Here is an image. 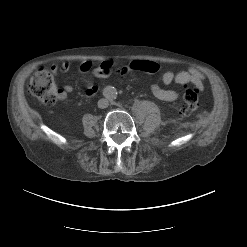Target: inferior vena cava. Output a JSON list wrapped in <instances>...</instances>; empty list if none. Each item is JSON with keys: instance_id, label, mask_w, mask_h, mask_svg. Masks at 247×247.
<instances>
[{"instance_id": "1", "label": "inferior vena cava", "mask_w": 247, "mask_h": 247, "mask_svg": "<svg viewBox=\"0 0 247 247\" xmlns=\"http://www.w3.org/2000/svg\"><path fill=\"white\" fill-rule=\"evenodd\" d=\"M108 105H109V102L107 99L102 98L98 101V107L101 109L107 108Z\"/></svg>"}]
</instances>
